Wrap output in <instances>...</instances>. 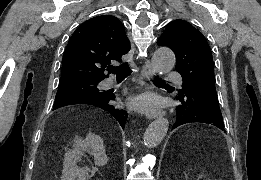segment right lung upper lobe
Wrapping results in <instances>:
<instances>
[{"label": "right lung upper lobe", "instance_id": "1", "mask_svg": "<svg viewBox=\"0 0 261 180\" xmlns=\"http://www.w3.org/2000/svg\"><path fill=\"white\" fill-rule=\"evenodd\" d=\"M130 50L123 24L114 16L102 15L85 21L71 36L62 59L60 81H102L112 60Z\"/></svg>", "mask_w": 261, "mask_h": 180}]
</instances>
